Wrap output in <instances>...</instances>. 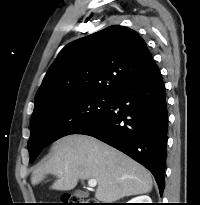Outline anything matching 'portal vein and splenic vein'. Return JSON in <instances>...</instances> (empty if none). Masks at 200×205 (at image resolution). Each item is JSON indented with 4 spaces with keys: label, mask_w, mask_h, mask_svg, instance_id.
Instances as JSON below:
<instances>
[{
    "label": "portal vein and splenic vein",
    "mask_w": 200,
    "mask_h": 205,
    "mask_svg": "<svg viewBox=\"0 0 200 205\" xmlns=\"http://www.w3.org/2000/svg\"><path fill=\"white\" fill-rule=\"evenodd\" d=\"M96 185H97V181L95 179L88 180L89 187L94 188V187H96Z\"/></svg>",
    "instance_id": "18ae733b"
}]
</instances>
